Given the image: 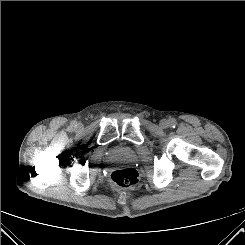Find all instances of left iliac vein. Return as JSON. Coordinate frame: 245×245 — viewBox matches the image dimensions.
<instances>
[{"mask_svg": "<svg viewBox=\"0 0 245 245\" xmlns=\"http://www.w3.org/2000/svg\"><path fill=\"white\" fill-rule=\"evenodd\" d=\"M160 126H161L162 128H167V127H168V121H167L166 119H162V120L160 121Z\"/></svg>", "mask_w": 245, "mask_h": 245, "instance_id": "left-iliac-vein-1", "label": "left iliac vein"}]
</instances>
